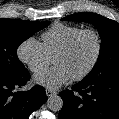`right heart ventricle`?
<instances>
[{"label": "right heart ventricle", "mask_w": 119, "mask_h": 119, "mask_svg": "<svg viewBox=\"0 0 119 119\" xmlns=\"http://www.w3.org/2000/svg\"><path fill=\"white\" fill-rule=\"evenodd\" d=\"M80 30L81 28L76 25L57 23L42 34V45L47 54L54 58L67 41Z\"/></svg>", "instance_id": "right-heart-ventricle-1"}]
</instances>
